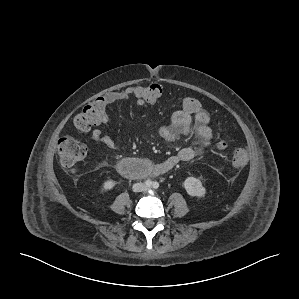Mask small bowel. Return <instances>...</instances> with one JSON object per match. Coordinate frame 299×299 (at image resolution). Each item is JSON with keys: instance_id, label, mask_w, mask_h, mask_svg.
I'll return each instance as SVG.
<instances>
[{"instance_id": "c3829d8e", "label": "small bowel", "mask_w": 299, "mask_h": 299, "mask_svg": "<svg viewBox=\"0 0 299 299\" xmlns=\"http://www.w3.org/2000/svg\"><path fill=\"white\" fill-rule=\"evenodd\" d=\"M131 97H135L138 106H144L146 104L144 100L137 97L135 87H128L121 91L108 92L103 97H100L105 104V112L97 124L98 127L92 131V138L95 142L102 144L111 150L117 148L113 138L103 132L101 128L109 121L106 107L119 101L128 100ZM209 124L210 116L202 108L195 113H188L184 110L174 112L170 124L164 125L159 129V135L168 142H174L181 137H187L193 134L196 137V145L193 147H184L176 154L156 164L147 161L151 167L149 175L158 176L165 174L177 164L190 161L202 153L213 140V132Z\"/></svg>"}]
</instances>
